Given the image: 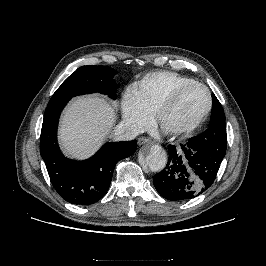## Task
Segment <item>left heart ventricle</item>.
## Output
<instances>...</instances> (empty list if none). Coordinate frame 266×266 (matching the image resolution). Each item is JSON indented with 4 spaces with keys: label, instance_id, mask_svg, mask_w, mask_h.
Listing matches in <instances>:
<instances>
[{
    "label": "left heart ventricle",
    "instance_id": "obj_1",
    "mask_svg": "<svg viewBox=\"0 0 266 266\" xmlns=\"http://www.w3.org/2000/svg\"><path fill=\"white\" fill-rule=\"evenodd\" d=\"M206 106L205 91L199 87H190L183 91L164 113L162 125L166 128L185 125L200 116Z\"/></svg>",
    "mask_w": 266,
    "mask_h": 266
}]
</instances>
